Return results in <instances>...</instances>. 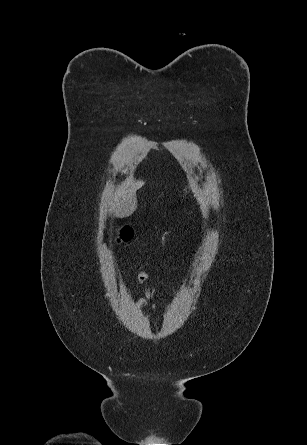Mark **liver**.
<instances>
[{"label":"liver","mask_w":307,"mask_h":445,"mask_svg":"<svg viewBox=\"0 0 307 445\" xmlns=\"http://www.w3.org/2000/svg\"><path fill=\"white\" fill-rule=\"evenodd\" d=\"M144 180L138 178V180H131V178H125L118 186L117 192L113 196V212L115 216L124 218V216H131L135 212L138 206L137 190L143 186ZM185 192H188L187 188H183Z\"/></svg>","instance_id":"obj_1"}]
</instances>
